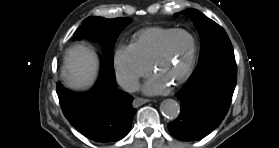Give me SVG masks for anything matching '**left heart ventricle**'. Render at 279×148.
Listing matches in <instances>:
<instances>
[{
  "instance_id": "1",
  "label": "left heart ventricle",
  "mask_w": 279,
  "mask_h": 148,
  "mask_svg": "<svg viewBox=\"0 0 279 148\" xmlns=\"http://www.w3.org/2000/svg\"><path fill=\"white\" fill-rule=\"evenodd\" d=\"M192 48V41L186 34L175 35L169 43L167 55L155 70V75L172 83L185 67Z\"/></svg>"
}]
</instances>
